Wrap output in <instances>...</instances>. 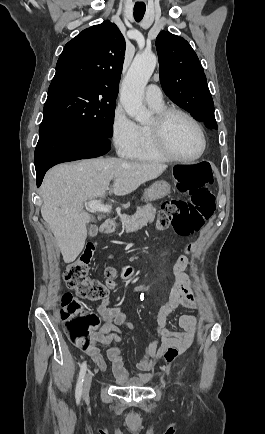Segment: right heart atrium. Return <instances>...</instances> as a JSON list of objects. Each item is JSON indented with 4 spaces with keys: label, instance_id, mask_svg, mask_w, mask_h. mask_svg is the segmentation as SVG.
I'll use <instances>...</instances> for the list:
<instances>
[{
    "label": "right heart atrium",
    "instance_id": "obj_1",
    "mask_svg": "<svg viewBox=\"0 0 265 434\" xmlns=\"http://www.w3.org/2000/svg\"><path fill=\"white\" fill-rule=\"evenodd\" d=\"M115 113L110 116L112 147L117 148L119 159H128L129 154H134V143L139 137L134 132L137 121L129 117L126 106H117Z\"/></svg>",
    "mask_w": 265,
    "mask_h": 434
}]
</instances>
